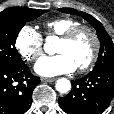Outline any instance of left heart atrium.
Segmentation results:
<instances>
[{
	"label": "left heart atrium",
	"instance_id": "39dd6f15",
	"mask_svg": "<svg viewBox=\"0 0 114 114\" xmlns=\"http://www.w3.org/2000/svg\"><path fill=\"white\" fill-rule=\"evenodd\" d=\"M76 68L77 65L75 62L65 53L42 57L37 61L34 67L37 74L45 77L71 73L74 72Z\"/></svg>",
	"mask_w": 114,
	"mask_h": 114
}]
</instances>
